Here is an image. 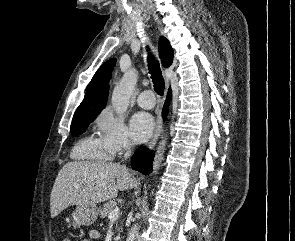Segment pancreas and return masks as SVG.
I'll use <instances>...</instances> for the list:
<instances>
[{"label": "pancreas", "mask_w": 295, "mask_h": 241, "mask_svg": "<svg viewBox=\"0 0 295 241\" xmlns=\"http://www.w3.org/2000/svg\"><path fill=\"white\" fill-rule=\"evenodd\" d=\"M117 203L115 201L107 202L102 210H100L99 214L101 218H105L109 215V213L115 209Z\"/></svg>", "instance_id": "obj_1"}]
</instances>
